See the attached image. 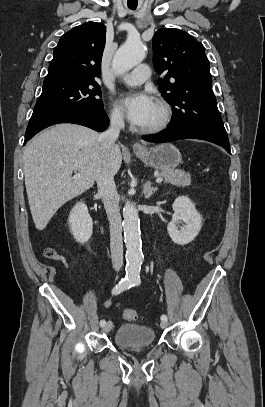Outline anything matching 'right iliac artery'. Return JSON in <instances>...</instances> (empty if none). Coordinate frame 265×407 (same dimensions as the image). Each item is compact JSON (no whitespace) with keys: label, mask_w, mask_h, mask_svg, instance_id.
Here are the masks:
<instances>
[{"label":"right iliac artery","mask_w":265,"mask_h":407,"mask_svg":"<svg viewBox=\"0 0 265 407\" xmlns=\"http://www.w3.org/2000/svg\"><path fill=\"white\" fill-rule=\"evenodd\" d=\"M132 286H134L133 280L125 277L124 279H121L119 284L116 285V287L112 290V294H115V295L120 294L121 292L131 288ZM105 324H106L105 320L100 321L101 327H103Z\"/></svg>","instance_id":"82829eb1"}]
</instances>
